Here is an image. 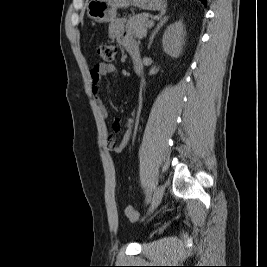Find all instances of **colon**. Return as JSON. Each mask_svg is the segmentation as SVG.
<instances>
[{
	"label": "colon",
	"instance_id": "obj_1",
	"mask_svg": "<svg viewBox=\"0 0 267 267\" xmlns=\"http://www.w3.org/2000/svg\"><path fill=\"white\" fill-rule=\"evenodd\" d=\"M96 52L105 62H110L115 57L116 49L113 45L101 43L96 46ZM125 214L130 221L134 222L138 219V214L132 206L126 207Z\"/></svg>",
	"mask_w": 267,
	"mask_h": 267
}]
</instances>
